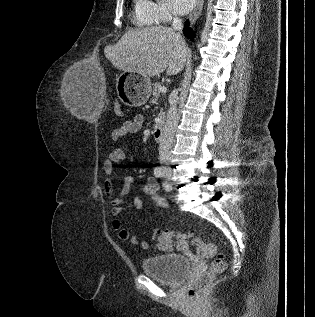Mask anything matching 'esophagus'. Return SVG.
I'll return each mask as SVG.
<instances>
[{"instance_id":"obj_1","label":"esophagus","mask_w":315,"mask_h":317,"mask_svg":"<svg viewBox=\"0 0 315 317\" xmlns=\"http://www.w3.org/2000/svg\"><path fill=\"white\" fill-rule=\"evenodd\" d=\"M203 4H204V0H197L194 10L189 16L191 24H193L196 21V19L199 17V15L201 14Z\"/></svg>"}]
</instances>
